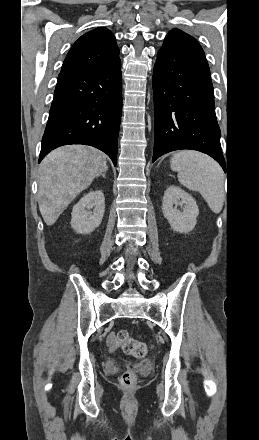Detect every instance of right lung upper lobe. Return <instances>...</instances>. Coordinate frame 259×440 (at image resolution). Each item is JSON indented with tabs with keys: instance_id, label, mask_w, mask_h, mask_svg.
<instances>
[{
	"instance_id": "right-lung-upper-lobe-1",
	"label": "right lung upper lobe",
	"mask_w": 259,
	"mask_h": 440,
	"mask_svg": "<svg viewBox=\"0 0 259 440\" xmlns=\"http://www.w3.org/2000/svg\"><path fill=\"white\" fill-rule=\"evenodd\" d=\"M118 55L119 49L111 31L97 28L74 43L64 60L61 73L93 69L114 60Z\"/></svg>"
}]
</instances>
